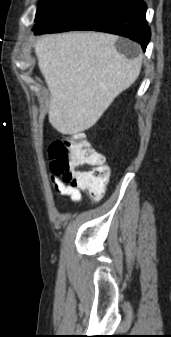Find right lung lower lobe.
I'll list each match as a JSON object with an SVG mask.
<instances>
[{
  "instance_id": "obj_1",
  "label": "right lung lower lobe",
  "mask_w": 171,
  "mask_h": 337,
  "mask_svg": "<svg viewBox=\"0 0 171 337\" xmlns=\"http://www.w3.org/2000/svg\"><path fill=\"white\" fill-rule=\"evenodd\" d=\"M142 0H70L49 21L34 29L35 34L70 30H95L126 36L145 51L151 32Z\"/></svg>"
}]
</instances>
